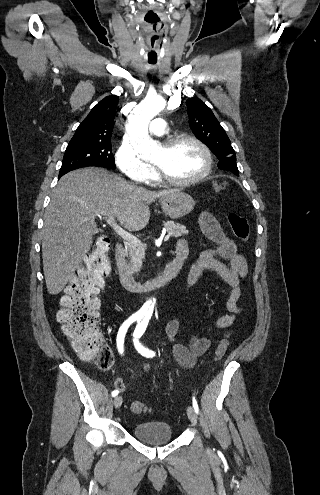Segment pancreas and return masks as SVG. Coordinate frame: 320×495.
<instances>
[{"label": "pancreas", "instance_id": "cf45deb5", "mask_svg": "<svg viewBox=\"0 0 320 495\" xmlns=\"http://www.w3.org/2000/svg\"><path fill=\"white\" fill-rule=\"evenodd\" d=\"M164 227L170 236L180 237L188 233V230L184 225L174 223L173 221H166ZM129 259L126 264V268L132 274L138 272L142 266L143 259L145 258V247L143 244L129 245L128 252Z\"/></svg>", "mask_w": 320, "mask_h": 495}]
</instances>
